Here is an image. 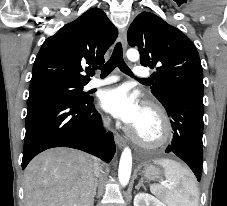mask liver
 Instances as JSON below:
<instances>
[{
	"mask_svg": "<svg viewBox=\"0 0 227 206\" xmlns=\"http://www.w3.org/2000/svg\"><path fill=\"white\" fill-rule=\"evenodd\" d=\"M95 161L69 148L40 153L24 172V206H92Z\"/></svg>",
	"mask_w": 227,
	"mask_h": 206,
	"instance_id": "liver-1",
	"label": "liver"
}]
</instances>
